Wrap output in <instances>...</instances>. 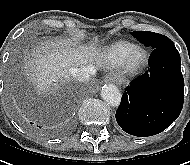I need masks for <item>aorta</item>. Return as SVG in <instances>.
<instances>
[{
	"mask_svg": "<svg viewBox=\"0 0 190 165\" xmlns=\"http://www.w3.org/2000/svg\"><path fill=\"white\" fill-rule=\"evenodd\" d=\"M101 97L110 106L117 107L121 102V93L113 84L104 85L101 89Z\"/></svg>",
	"mask_w": 190,
	"mask_h": 165,
	"instance_id": "obj_1",
	"label": "aorta"
}]
</instances>
